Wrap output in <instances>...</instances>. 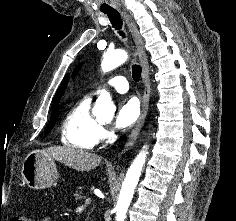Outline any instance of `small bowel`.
Returning <instances> with one entry per match:
<instances>
[{"label": "small bowel", "mask_w": 236, "mask_h": 221, "mask_svg": "<svg viewBox=\"0 0 236 221\" xmlns=\"http://www.w3.org/2000/svg\"><path fill=\"white\" fill-rule=\"evenodd\" d=\"M42 221H51V218L50 217H46Z\"/></svg>", "instance_id": "c3829d8e"}]
</instances>
